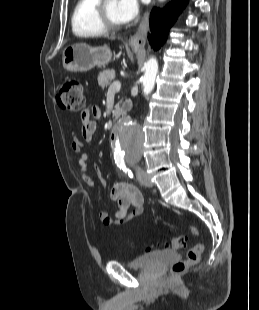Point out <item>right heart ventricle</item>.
<instances>
[{
	"label": "right heart ventricle",
	"mask_w": 259,
	"mask_h": 310,
	"mask_svg": "<svg viewBox=\"0 0 259 310\" xmlns=\"http://www.w3.org/2000/svg\"><path fill=\"white\" fill-rule=\"evenodd\" d=\"M99 0H78L72 14V30L79 37H96L104 33L95 18Z\"/></svg>",
	"instance_id": "e07e8e85"
}]
</instances>
